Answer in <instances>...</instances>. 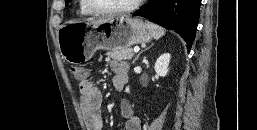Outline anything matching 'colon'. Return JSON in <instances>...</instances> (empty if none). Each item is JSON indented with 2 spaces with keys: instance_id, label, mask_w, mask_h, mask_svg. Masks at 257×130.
<instances>
[{
  "instance_id": "5ec220e1",
  "label": "colon",
  "mask_w": 257,
  "mask_h": 130,
  "mask_svg": "<svg viewBox=\"0 0 257 130\" xmlns=\"http://www.w3.org/2000/svg\"><path fill=\"white\" fill-rule=\"evenodd\" d=\"M70 73L79 81L85 80L87 78V70L79 65H70Z\"/></svg>"
}]
</instances>
